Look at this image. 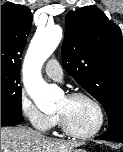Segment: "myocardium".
I'll list each match as a JSON object with an SVG mask.
<instances>
[{
  "label": "myocardium",
  "instance_id": "f54148a6",
  "mask_svg": "<svg viewBox=\"0 0 123 152\" xmlns=\"http://www.w3.org/2000/svg\"><path fill=\"white\" fill-rule=\"evenodd\" d=\"M66 98H68L69 100L83 98V99L90 101L95 106V108L98 112L99 121L93 130H91L89 132L82 133V132H77L74 129H72L71 126L69 125L67 119L65 118V116L62 115L61 113H58L57 114L58 119H59V122H60V125H61L63 131L66 134H68L69 136H72L75 138H80V139H87V138H91V137L97 135L104 127V124L106 121L105 111H104V108L101 105V103L91 94L86 93V92H81V91L71 92V93L66 95Z\"/></svg>",
  "mask_w": 123,
  "mask_h": 152
}]
</instances>
